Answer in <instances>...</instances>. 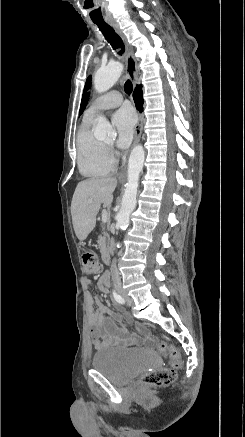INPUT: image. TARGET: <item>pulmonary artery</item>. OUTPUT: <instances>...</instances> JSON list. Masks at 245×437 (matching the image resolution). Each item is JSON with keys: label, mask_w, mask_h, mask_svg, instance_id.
Instances as JSON below:
<instances>
[{"label": "pulmonary artery", "mask_w": 245, "mask_h": 437, "mask_svg": "<svg viewBox=\"0 0 245 437\" xmlns=\"http://www.w3.org/2000/svg\"><path fill=\"white\" fill-rule=\"evenodd\" d=\"M123 97L118 91H110L95 99L85 112V116L93 118L98 112L118 107Z\"/></svg>", "instance_id": "1"}]
</instances>
